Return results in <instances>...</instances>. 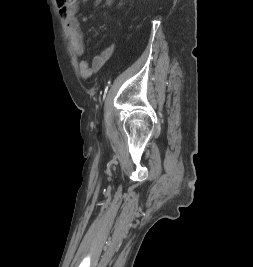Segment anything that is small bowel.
Returning a JSON list of instances; mask_svg holds the SVG:
<instances>
[{"label": "small bowel", "instance_id": "obj_1", "mask_svg": "<svg viewBox=\"0 0 253 267\" xmlns=\"http://www.w3.org/2000/svg\"><path fill=\"white\" fill-rule=\"evenodd\" d=\"M85 0H76V2L71 6H60V15L64 20L67 35L69 38L70 46L72 49L73 54L80 58L79 66L82 71L87 70L88 64L82 58L84 55V43H83V35L80 28V24L76 17L78 7L80 2ZM114 0H104V4L106 6H110ZM114 46L111 45L103 50L99 55H97L93 59V66L98 67L100 66L113 52Z\"/></svg>", "mask_w": 253, "mask_h": 267}]
</instances>
